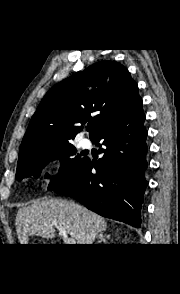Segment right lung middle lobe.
Segmentation results:
<instances>
[{
    "label": "right lung middle lobe",
    "mask_w": 180,
    "mask_h": 294,
    "mask_svg": "<svg viewBox=\"0 0 180 294\" xmlns=\"http://www.w3.org/2000/svg\"><path fill=\"white\" fill-rule=\"evenodd\" d=\"M76 154L77 150L71 143L41 149L29 158L18 162L16 178L18 180L30 176L38 178L41 170L50 161L62 160L59 173L51 178L48 187L49 190H53L68 182L87 160L85 157L75 156ZM45 177L49 178V175L47 174Z\"/></svg>",
    "instance_id": "1"
}]
</instances>
